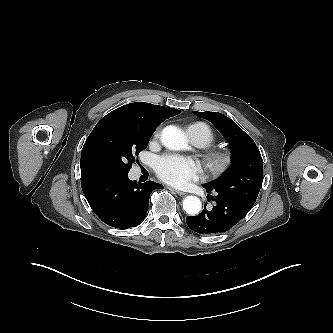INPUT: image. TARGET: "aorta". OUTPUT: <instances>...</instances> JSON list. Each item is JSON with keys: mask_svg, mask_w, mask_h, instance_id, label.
Masks as SVG:
<instances>
[{"mask_svg": "<svg viewBox=\"0 0 333 333\" xmlns=\"http://www.w3.org/2000/svg\"><path fill=\"white\" fill-rule=\"evenodd\" d=\"M163 145L170 150H182L187 146V138L179 128L174 125L166 126L161 133ZM202 202L197 196H187L183 200V209L189 215L200 212Z\"/></svg>", "mask_w": 333, "mask_h": 333, "instance_id": "obj_1", "label": "aorta"}]
</instances>
